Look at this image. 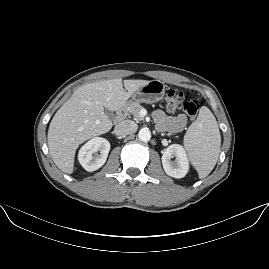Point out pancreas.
<instances>
[{"label":"pancreas","instance_id":"1","mask_svg":"<svg viewBox=\"0 0 269 269\" xmlns=\"http://www.w3.org/2000/svg\"><path fill=\"white\" fill-rule=\"evenodd\" d=\"M142 106L139 103L132 102L128 105V113L133 116L135 120H143L144 116L141 114Z\"/></svg>","mask_w":269,"mask_h":269}]
</instances>
